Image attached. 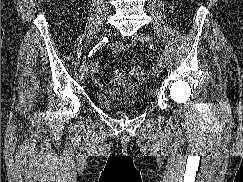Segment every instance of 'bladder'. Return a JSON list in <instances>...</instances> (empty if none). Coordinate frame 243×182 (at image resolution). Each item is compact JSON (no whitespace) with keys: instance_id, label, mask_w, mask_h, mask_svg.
Masks as SVG:
<instances>
[{"instance_id":"obj_1","label":"bladder","mask_w":243,"mask_h":182,"mask_svg":"<svg viewBox=\"0 0 243 182\" xmlns=\"http://www.w3.org/2000/svg\"><path fill=\"white\" fill-rule=\"evenodd\" d=\"M95 100L102 110L117 115L136 114L144 109L142 97L136 94L121 96L111 91H99Z\"/></svg>"}]
</instances>
